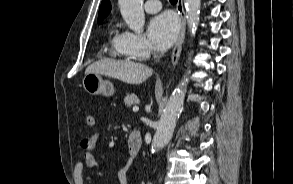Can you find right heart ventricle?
I'll use <instances>...</instances> for the list:
<instances>
[{"instance_id":"1","label":"right heart ventricle","mask_w":293,"mask_h":184,"mask_svg":"<svg viewBox=\"0 0 293 184\" xmlns=\"http://www.w3.org/2000/svg\"><path fill=\"white\" fill-rule=\"evenodd\" d=\"M120 35H114L111 41V55L120 58H132L133 56L127 52L119 42Z\"/></svg>"}]
</instances>
